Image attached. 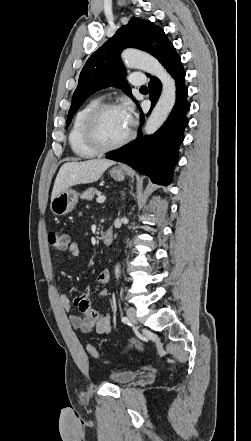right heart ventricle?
I'll use <instances>...</instances> for the list:
<instances>
[{
  "instance_id": "obj_1",
  "label": "right heart ventricle",
  "mask_w": 251,
  "mask_h": 441,
  "mask_svg": "<svg viewBox=\"0 0 251 441\" xmlns=\"http://www.w3.org/2000/svg\"><path fill=\"white\" fill-rule=\"evenodd\" d=\"M100 102L98 99H91L85 103L75 114L69 131V145L72 152L81 159L95 157L98 153L91 149L83 137V125L87 114Z\"/></svg>"
}]
</instances>
